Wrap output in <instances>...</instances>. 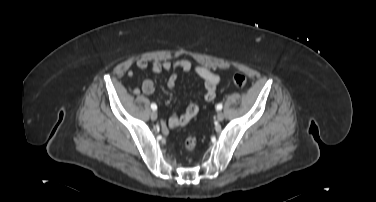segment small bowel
Here are the masks:
<instances>
[{"label": "small bowel", "mask_w": 376, "mask_h": 202, "mask_svg": "<svg viewBox=\"0 0 376 202\" xmlns=\"http://www.w3.org/2000/svg\"><path fill=\"white\" fill-rule=\"evenodd\" d=\"M136 67L139 70H145L148 67V62L144 59H140L136 62ZM151 70L155 73H160L162 71L170 70H180L185 73L194 72L204 84V93L202 96V102H211L216 97V89L219 84L220 78L218 75L210 71L204 66H193L192 63L188 60H178V61H163V62H154L151 65ZM127 75L131 78L134 76V70L130 69L127 72ZM178 79V72H173L168 80L167 86L169 88H174L176 86ZM131 92L135 95L140 94H152L155 90L154 84L151 80H145L141 88H130ZM194 110V112H192ZM199 110V105L196 103H191L185 110L182 115H172L169 118L168 126L172 129L185 126L197 113Z\"/></svg>", "instance_id": "1"}]
</instances>
